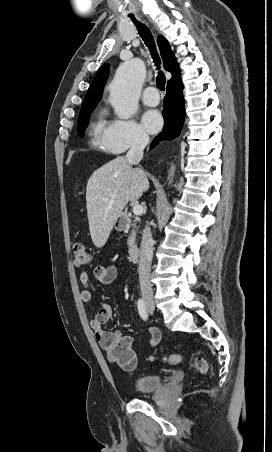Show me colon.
<instances>
[{"instance_id": "5ec220e1", "label": "colon", "mask_w": 272, "mask_h": 452, "mask_svg": "<svg viewBox=\"0 0 272 452\" xmlns=\"http://www.w3.org/2000/svg\"><path fill=\"white\" fill-rule=\"evenodd\" d=\"M93 262L92 255L84 244L78 243L73 248V265L80 269L90 266ZM109 360L119 367L131 370L136 366V358L134 352L130 349L129 342L125 338L117 339L110 346L108 351ZM161 361L168 364H177L181 362V356L171 354L161 358ZM195 368L201 374H206L209 370L208 362L201 356L195 358Z\"/></svg>"}]
</instances>
